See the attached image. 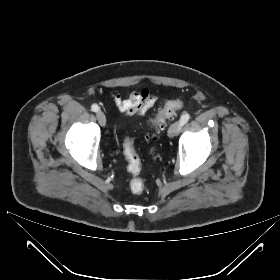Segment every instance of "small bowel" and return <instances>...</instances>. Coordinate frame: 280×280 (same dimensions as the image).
Instances as JSON below:
<instances>
[{
  "label": "small bowel",
  "mask_w": 280,
  "mask_h": 280,
  "mask_svg": "<svg viewBox=\"0 0 280 280\" xmlns=\"http://www.w3.org/2000/svg\"><path fill=\"white\" fill-rule=\"evenodd\" d=\"M112 99L122 114L129 117H141L155 104L158 95L150 88L143 87L138 91L128 93L125 97L114 93Z\"/></svg>",
  "instance_id": "obj_1"
}]
</instances>
